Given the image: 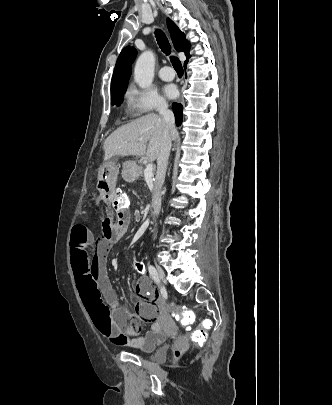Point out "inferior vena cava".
Returning a JSON list of instances; mask_svg holds the SVG:
<instances>
[{
    "label": "inferior vena cava",
    "instance_id": "602c4592",
    "mask_svg": "<svg viewBox=\"0 0 332 405\" xmlns=\"http://www.w3.org/2000/svg\"><path fill=\"white\" fill-rule=\"evenodd\" d=\"M157 110L163 118L165 132L162 139L160 153L157 158V173L153 188L152 207L153 213L158 215L161 209V188L165 180V174L168 164V158L171 150V135L175 131V117L171 110L168 109L166 102H159Z\"/></svg>",
    "mask_w": 332,
    "mask_h": 405
}]
</instances>
